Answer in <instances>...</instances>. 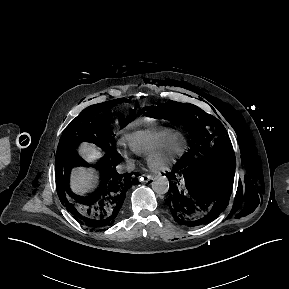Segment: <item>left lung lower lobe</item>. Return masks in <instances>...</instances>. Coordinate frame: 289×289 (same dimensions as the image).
Listing matches in <instances>:
<instances>
[{"label":"left lung lower lobe","instance_id":"left-lung-lower-lobe-1","mask_svg":"<svg viewBox=\"0 0 289 289\" xmlns=\"http://www.w3.org/2000/svg\"><path fill=\"white\" fill-rule=\"evenodd\" d=\"M234 165L219 168L204 150L190 149L168 173V208L174 219L189 227L207 224L226 208L234 181Z\"/></svg>","mask_w":289,"mask_h":289}]
</instances>
